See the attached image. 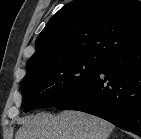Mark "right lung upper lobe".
<instances>
[{"label": "right lung upper lobe", "mask_w": 141, "mask_h": 139, "mask_svg": "<svg viewBox=\"0 0 141 139\" xmlns=\"http://www.w3.org/2000/svg\"><path fill=\"white\" fill-rule=\"evenodd\" d=\"M141 43V1L75 0L36 39L27 70L77 57L107 59Z\"/></svg>", "instance_id": "right-lung-upper-lobe-1"}]
</instances>
